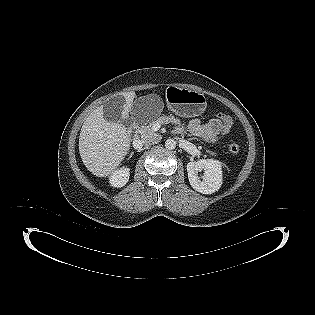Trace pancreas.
<instances>
[{"mask_svg": "<svg viewBox=\"0 0 315 315\" xmlns=\"http://www.w3.org/2000/svg\"><path fill=\"white\" fill-rule=\"evenodd\" d=\"M154 123H172V124H180V120L178 118H175L174 116H161L155 121L151 122L147 126H141L139 128V133L141 134L142 137H146L149 135H159L154 132L153 130V124ZM210 154L214 155V152L208 151Z\"/></svg>", "mask_w": 315, "mask_h": 315, "instance_id": "1", "label": "pancreas"}]
</instances>
